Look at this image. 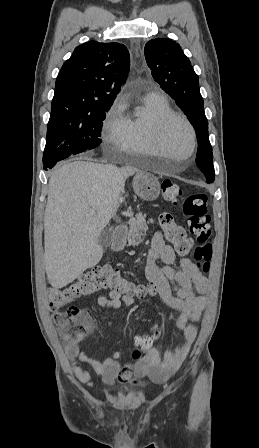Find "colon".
Returning <instances> with one entry per match:
<instances>
[{
	"mask_svg": "<svg viewBox=\"0 0 259 448\" xmlns=\"http://www.w3.org/2000/svg\"><path fill=\"white\" fill-rule=\"evenodd\" d=\"M164 200L177 204L182 196V188L172 179H164L161 183ZM208 197L205 193H193L186 196L182 202V210L187 218L189 233L195 239L197 246L194 257L197 267L207 272L212 258L211 218L208 212ZM159 224L165 230L166 237L172 242L180 254L189 253L192 239L186 230L178 225L173 216L163 213L159 216ZM100 291H109L111 295H129L145 297L155 292L152 287L134 282L109 267H97L83 274L77 281L65 288L49 289V306L53 312V320L59 328L64 342L76 345L83 340L94 327V321L87 310L70 305L80 298L89 297ZM161 334L151 332L135 338L133 358L141 360L142 353L151 349L153 343Z\"/></svg>",
	"mask_w": 259,
	"mask_h": 448,
	"instance_id": "5ec220e1",
	"label": "colon"
}]
</instances>
